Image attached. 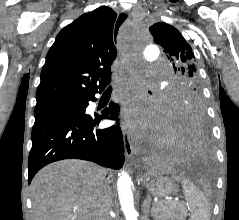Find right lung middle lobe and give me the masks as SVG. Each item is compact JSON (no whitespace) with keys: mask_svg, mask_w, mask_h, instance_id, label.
<instances>
[{"mask_svg":"<svg viewBox=\"0 0 239 220\" xmlns=\"http://www.w3.org/2000/svg\"><path fill=\"white\" fill-rule=\"evenodd\" d=\"M72 105H73V103L52 104V105H46V106H42V107H36L35 115L46 114V113L66 112V111L72 109Z\"/></svg>","mask_w":239,"mask_h":220,"instance_id":"right-lung-middle-lobe-1","label":"right lung middle lobe"}]
</instances>
